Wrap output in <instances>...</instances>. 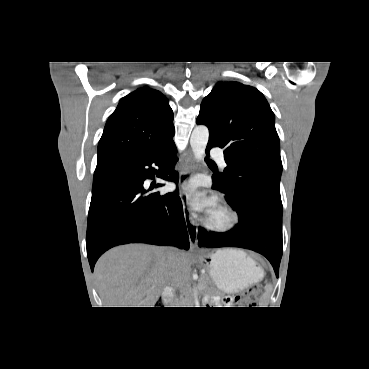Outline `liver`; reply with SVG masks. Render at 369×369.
Masks as SVG:
<instances>
[{
	"instance_id": "liver-1",
	"label": "liver",
	"mask_w": 369,
	"mask_h": 369,
	"mask_svg": "<svg viewBox=\"0 0 369 369\" xmlns=\"http://www.w3.org/2000/svg\"><path fill=\"white\" fill-rule=\"evenodd\" d=\"M143 244L115 247L98 260L94 274L104 307H154L166 286L189 278L190 258L174 250Z\"/></svg>"
}]
</instances>
